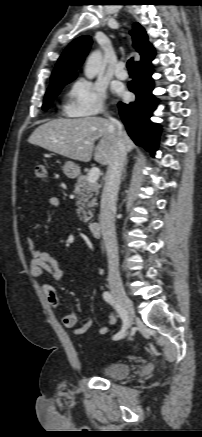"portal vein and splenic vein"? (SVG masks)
<instances>
[{
  "instance_id": "18ae733b",
  "label": "portal vein and splenic vein",
  "mask_w": 202,
  "mask_h": 437,
  "mask_svg": "<svg viewBox=\"0 0 202 437\" xmlns=\"http://www.w3.org/2000/svg\"><path fill=\"white\" fill-rule=\"evenodd\" d=\"M100 169L97 167L92 168L88 173V182L95 183L100 177Z\"/></svg>"
}]
</instances>
